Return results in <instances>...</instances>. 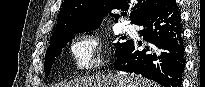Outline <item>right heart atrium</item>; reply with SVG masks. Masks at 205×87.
<instances>
[{
  "mask_svg": "<svg viewBox=\"0 0 205 87\" xmlns=\"http://www.w3.org/2000/svg\"><path fill=\"white\" fill-rule=\"evenodd\" d=\"M70 55L78 68L96 67L101 62L103 43L94 34L80 36L71 44Z\"/></svg>",
  "mask_w": 205,
  "mask_h": 87,
  "instance_id": "1",
  "label": "right heart atrium"
}]
</instances>
